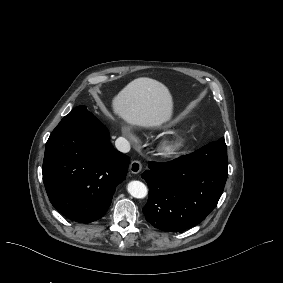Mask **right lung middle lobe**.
<instances>
[{
    "label": "right lung middle lobe",
    "mask_w": 283,
    "mask_h": 283,
    "mask_svg": "<svg viewBox=\"0 0 283 283\" xmlns=\"http://www.w3.org/2000/svg\"><path fill=\"white\" fill-rule=\"evenodd\" d=\"M88 118V119H96L98 120L93 114H91L85 106H78L74 108L68 115H66L62 120H67L71 118Z\"/></svg>",
    "instance_id": "dd1d6c3e"
}]
</instances>
